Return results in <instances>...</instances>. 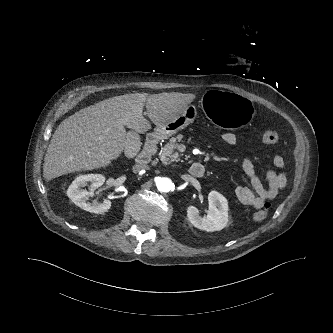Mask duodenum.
Instances as JSON below:
<instances>
[{
  "mask_svg": "<svg viewBox=\"0 0 333 333\" xmlns=\"http://www.w3.org/2000/svg\"><path fill=\"white\" fill-rule=\"evenodd\" d=\"M157 141L158 136L156 134H150L147 136L142 151L136 156L135 159L137 167L142 168L152 160L156 151ZM189 172L193 177L201 178L204 176L205 168L203 164L195 162L190 166Z\"/></svg>",
  "mask_w": 333,
  "mask_h": 333,
  "instance_id": "obj_1",
  "label": "duodenum"
}]
</instances>
